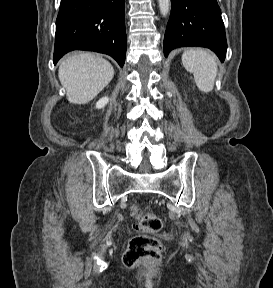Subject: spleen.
<instances>
[{"mask_svg":"<svg viewBox=\"0 0 273 288\" xmlns=\"http://www.w3.org/2000/svg\"><path fill=\"white\" fill-rule=\"evenodd\" d=\"M182 63L185 69L193 73L198 89L209 93L214 88L217 75L215 58L204 49H189L182 54Z\"/></svg>","mask_w":273,"mask_h":288,"instance_id":"spleen-1","label":"spleen"}]
</instances>
